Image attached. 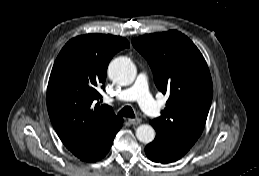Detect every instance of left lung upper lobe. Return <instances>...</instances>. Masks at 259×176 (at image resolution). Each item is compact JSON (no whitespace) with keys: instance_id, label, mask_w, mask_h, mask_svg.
I'll list each match as a JSON object with an SVG mask.
<instances>
[{"instance_id":"obj_1","label":"left lung upper lobe","mask_w":259,"mask_h":176,"mask_svg":"<svg viewBox=\"0 0 259 176\" xmlns=\"http://www.w3.org/2000/svg\"><path fill=\"white\" fill-rule=\"evenodd\" d=\"M132 44L148 61L158 89L170 94L161 116L151 121L156 135L192 147L203 131L213 96L204 57L176 30L143 35Z\"/></svg>"}]
</instances>
